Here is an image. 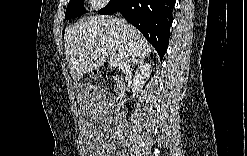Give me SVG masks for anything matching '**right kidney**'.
Wrapping results in <instances>:
<instances>
[{
  "label": "right kidney",
  "instance_id": "obj_1",
  "mask_svg": "<svg viewBox=\"0 0 247 156\" xmlns=\"http://www.w3.org/2000/svg\"><path fill=\"white\" fill-rule=\"evenodd\" d=\"M151 74V65L149 63L142 64L133 77V84L137 90L143 88V85L146 80L150 77Z\"/></svg>",
  "mask_w": 247,
  "mask_h": 156
}]
</instances>
